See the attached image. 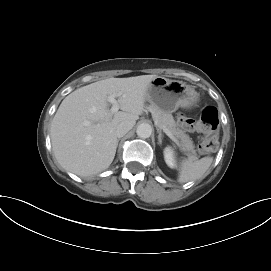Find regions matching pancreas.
Segmentation results:
<instances>
[{
    "label": "pancreas",
    "mask_w": 271,
    "mask_h": 271,
    "mask_svg": "<svg viewBox=\"0 0 271 271\" xmlns=\"http://www.w3.org/2000/svg\"><path fill=\"white\" fill-rule=\"evenodd\" d=\"M149 111L152 113L153 120L155 121L159 129L166 128L171 134L180 140V147L186 153V155L196 160L198 159V154L195 150V145L192 139L189 137L185 131L177 127V124L172 116V114L162 111L156 106L150 105L148 107Z\"/></svg>",
    "instance_id": "pancreas-1"
}]
</instances>
